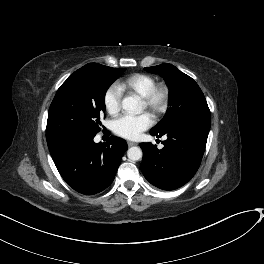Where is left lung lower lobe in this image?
I'll return each mask as SVG.
<instances>
[{"mask_svg": "<svg viewBox=\"0 0 264 264\" xmlns=\"http://www.w3.org/2000/svg\"><path fill=\"white\" fill-rule=\"evenodd\" d=\"M210 118L196 117L184 120L164 134V147L159 150L152 143H141L144 177L163 190H174L186 184L197 172L206 147Z\"/></svg>", "mask_w": 264, "mask_h": 264, "instance_id": "left-lung-lower-lobe-1", "label": "left lung lower lobe"}]
</instances>
